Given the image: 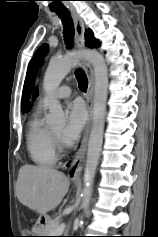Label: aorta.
<instances>
[{"label": "aorta", "mask_w": 158, "mask_h": 237, "mask_svg": "<svg viewBox=\"0 0 158 237\" xmlns=\"http://www.w3.org/2000/svg\"><path fill=\"white\" fill-rule=\"evenodd\" d=\"M80 59H85L92 64L95 75L93 124L88 142L82 190L81 207L85 211L91 200L93 181L103 144L109 84L108 69L105 60L99 52L93 50L73 52L67 54L62 59H52L44 75L43 88L50 97L47 124L51 126H64L66 117L60 102L55 97V91L64 77Z\"/></svg>", "instance_id": "762f6f07"}]
</instances>
